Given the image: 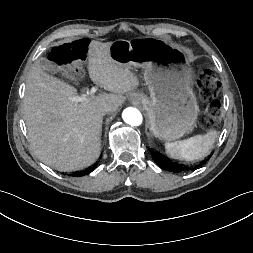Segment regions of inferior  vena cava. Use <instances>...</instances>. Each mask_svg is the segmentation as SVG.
Masks as SVG:
<instances>
[{
    "mask_svg": "<svg viewBox=\"0 0 253 253\" xmlns=\"http://www.w3.org/2000/svg\"><path fill=\"white\" fill-rule=\"evenodd\" d=\"M115 110L114 106L108 103H104L102 106V111L104 113H110L113 112Z\"/></svg>",
    "mask_w": 253,
    "mask_h": 253,
    "instance_id": "obj_1",
    "label": "inferior vena cava"
}]
</instances>
